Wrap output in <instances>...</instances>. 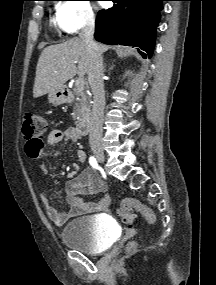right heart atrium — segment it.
I'll return each mask as SVG.
<instances>
[{"label": "right heart atrium", "mask_w": 216, "mask_h": 285, "mask_svg": "<svg viewBox=\"0 0 216 285\" xmlns=\"http://www.w3.org/2000/svg\"><path fill=\"white\" fill-rule=\"evenodd\" d=\"M55 22L66 34H75L83 28L92 26L95 13L90 1L64 0L56 6Z\"/></svg>", "instance_id": "d8ad5b80"}]
</instances>
